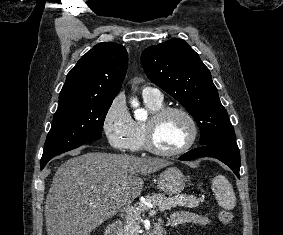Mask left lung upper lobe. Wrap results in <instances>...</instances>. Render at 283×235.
Segmentation results:
<instances>
[{"label": "left lung upper lobe", "mask_w": 283, "mask_h": 235, "mask_svg": "<svg viewBox=\"0 0 283 235\" xmlns=\"http://www.w3.org/2000/svg\"><path fill=\"white\" fill-rule=\"evenodd\" d=\"M141 62L147 77L193 116L201 145L236 141L209 69L184 40L171 39L146 48Z\"/></svg>", "instance_id": "left-lung-upper-lobe-1"}]
</instances>
